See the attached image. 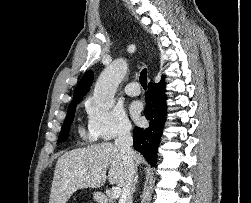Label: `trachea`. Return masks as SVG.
<instances>
[{"label":"trachea","mask_w":251,"mask_h":203,"mask_svg":"<svg viewBox=\"0 0 251 203\" xmlns=\"http://www.w3.org/2000/svg\"><path fill=\"white\" fill-rule=\"evenodd\" d=\"M140 84L144 89H147V70L146 68L143 69L140 73V78H139Z\"/></svg>","instance_id":"trachea-1"}]
</instances>
